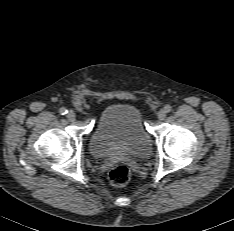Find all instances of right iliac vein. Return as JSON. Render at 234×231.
I'll return each instance as SVG.
<instances>
[{"mask_svg": "<svg viewBox=\"0 0 234 231\" xmlns=\"http://www.w3.org/2000/svg\"><path fill=\"white\" fill-rule=\"evenodd\" d=\"M67 119L69 120V121H75V119H76V114H75V112L74 111H72V110H70L68 113H67Z\"/></svg>", "mask_w": 234, "mask_h": 231, "instance_id": "63e3f726", "label": "right iliac vein"}]
</instances>
